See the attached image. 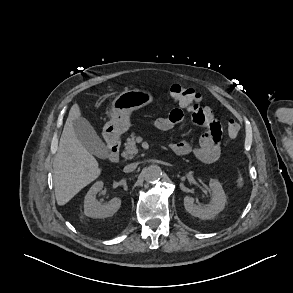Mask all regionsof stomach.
Returning a JSON list of instances; mask_svg holds the SVG:
<instances>
[{"instance_id": "0dacf381", "label": "stomach", "mask_w": 293, "mask_h": 293, "mask_svg": "<svg viewBox=\"0 0 293 293\" xmlns=\"http://www.w3.org/2000/svg\"><path fill=\"white\" fill-rule=\"evenodd\" d=\"M154 97L148 91L126 90L120 93L112 103L111 120L103 128V133L113 138L126 132L130 127L132 112L152 103Z\"/></svg>"}]
</instances>
